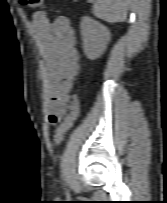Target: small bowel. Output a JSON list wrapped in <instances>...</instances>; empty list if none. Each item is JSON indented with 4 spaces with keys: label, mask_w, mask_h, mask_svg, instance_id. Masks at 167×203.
<instances>
[{
    "label": "small bowel",
    "mask_w": 167,
    "mask_h": 203,
    "mask_svg": "<svg viewBox=\"0 0 167 203\" xmlns=\"http://www.w3.org/2000/svg\"><path fill=\"white\" fill-rule=\"evenodd\" d=\"M47 71L50 125L61 121L69 109L70 90L80 72L79 53L70 20L59 16L51 21L44 13H35L32 20Z\"/></svg>",
    "instance_id": "small-bowel-1"
}]
</instances>
